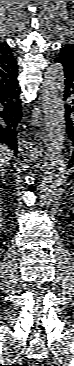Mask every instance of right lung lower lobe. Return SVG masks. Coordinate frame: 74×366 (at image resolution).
Returning a JSON list of instances; mask_svg holds the SVG:
<instances>
[{
	"label": "right lung lower lobe",
	"instance_id": "right-lung-lower-lobe-1",
	"mask_svg": "<svg viewBox=\"0 0 74 366\" xmlns=\"http://www.w3.org/2000/svg\"><path fill=\"white\" fill-rule=\"evenodd\" d=\"M20 88L17 80L0 86V143L6 144L16 155L17 125L21 121Z\"/></svg>",
	"mask_w": 74,
	"mask_h": 366
}]
</instances>
